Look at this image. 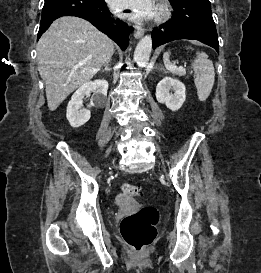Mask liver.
Masks as SVG:
<instances>
[{
	"mask_svg": "<svg viewBox=\"0 0 261 273\" xmlns=\"http://www.w3.org/2000/svg\"><path fill=\"white\" fill-rule=\"evenodd\" d=\"M114 44L88 21L55 20L37 43L39 74L46 85L50 111L78 87L88 83L112 57Z\"/></svg>",
	"mask_w": 261,
	"mask_h": 273,
	"instance_id": "obj_1",
	"label": "liver"
}]
</instances>
